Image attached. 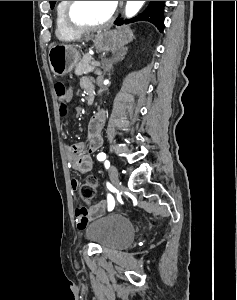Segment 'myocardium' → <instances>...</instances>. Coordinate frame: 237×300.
Returning <instances> with one entry per match:
<instances>
[{
  "mask_svg": "<svg viewBox=\"0 0 237 300\" xmlns=\"http://www.w3.org/2000/svg\"><path fill=\"white\" fill-rule=\"evenodd\" d=\"M78 1H68L65 8V21L67 26L74 32L82 33L87 31H98L109 27L116 18V9L114 8L111 16L103 23L98 25L79 24L75 21L73 13Z\"/></svg>",
  "mask_w": 237,
  "mask_h": 300,
  "instance_id": "1",
  "label": "myocardium"
}]
</instances>
